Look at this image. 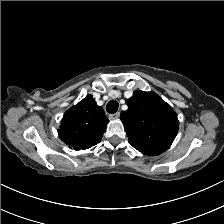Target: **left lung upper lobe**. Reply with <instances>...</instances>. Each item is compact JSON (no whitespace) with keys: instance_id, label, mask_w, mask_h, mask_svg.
I'll return each instance as SVG.
<instances>
[{"instance_id":"5c2ea615","label":"left lung upper lobe","mask_w":224,"mask_h":224,"mask_svg":"<svg viewBox=\"0 0 224 224\" xmlns=\"http://www.w3.org/2000/svg\"><path fill=\"white\" fill-rule=\"evenodd\" d=\"M120 119L128 142L143 154L156 156L166 151L178 131L177 114L154 92L135 91Z\"/></svg>"}]
</instances>
